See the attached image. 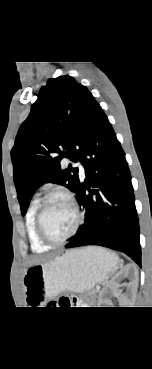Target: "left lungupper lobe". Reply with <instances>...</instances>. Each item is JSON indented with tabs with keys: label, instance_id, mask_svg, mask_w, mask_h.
I'll list each match as a JSON object with an SVG mask.
<instances>
[{
	"label": "left lung upper lobe",
	"instance_id": "5c2ea615",
	"mask_svg": "<svg viewBox=\"0 0 152 369\" xmlns=\"http://www.w3.org/2000/svg\"><path fill=\"white\" fill-rule=\"evenodd\" d=\"M98 107L86 87L69 75L49 79L41 88L11 151L22 215L34 191L44 183H57L76 191L78 169L63 170L60 162L63 157L73 162L79 160Z\"/></svg>",
	"mask_w": 152,
	"mask_h": 369
}]
</instances>
